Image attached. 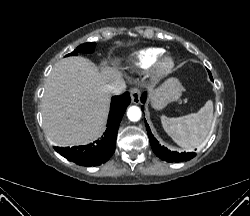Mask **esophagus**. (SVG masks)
Returning <instances> with one entry per match:
<instances>
[{
	"label": "esophagus",
	"mask_w": 250,
	"mask_h": 216,
	"mask_svg": "<svg viewBox=\"0 0 250 216\" xmlns=\"http://www.w3.org/2000/svg\"><path fill=\"white\" fill-rule=\"evenodd\" d=\"M130 95H131V101L134 104H138L140 102V98H141V92L138 88H132L130 90Z\"/></svg>",
	"instance_id": "obj_1"
}]
</instances>
